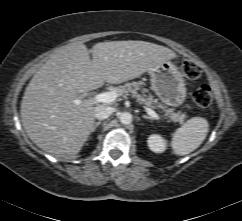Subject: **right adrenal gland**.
<instances>
[{
    "mask_svg": "<svg viewBox=\"0 0 242 221\" xmlns=\"http://www.w3.org/2000/svg\"><path fill=\"white\" fill-rule=\"evenodd\" d=\"M101 124H102L101 121L96 122L95 125H94V127H93L92 132H94L98 128V126L101 125Z\"/></svg>",
    "mask_w": 242,
    "mask_h": 221,
    "instance_id": "right-adrenal-gland-1",
    "label": "right adrenal gland"
}]
</instances>
